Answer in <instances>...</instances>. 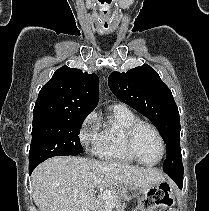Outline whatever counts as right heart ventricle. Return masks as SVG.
Masks as SVG:
<instances>
[{
    "instance_id": "right-heart-ventricle-1",
    "label": "right heart ventricle",
    "mask_w": 209,
    "mask_h": 211,
    "mask_svg": "<svg viewBox=\"0 0 209 211\" xmlns=\"http://www.w3.org/2000/svg\"><path fill=\"white\" fill-rule=\"evenodd\" d=\"M138 118L128 109H112L108 118L98 125V138L93 153L102 160L132 164L134 160L124 146V136L128 127Z\"/></svg>"
}]
</instances>
